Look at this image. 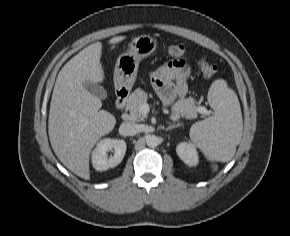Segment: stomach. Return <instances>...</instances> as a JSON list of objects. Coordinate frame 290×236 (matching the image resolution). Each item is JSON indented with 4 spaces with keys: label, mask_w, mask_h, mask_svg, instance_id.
Wrapping results in <instances>:
<instances>
[{
    "label": "stomach",
    "mask_w": 290,
    "mask_h": 236,
    "mask_svg": "<svg viewBox=\"0 0 290 236\" xmlns=\"http://www.w3.org/2000/svg\"><path fill=\"white\" fill-rule=\"evenodd\" d=\"M157 49V41L148 35L133 38L130 48L117 58L114 71V85L117 89H131L139 66V62L150 56Z\"/></svg>",
    "instance_id": "0dacf381"
}]
</instances>
